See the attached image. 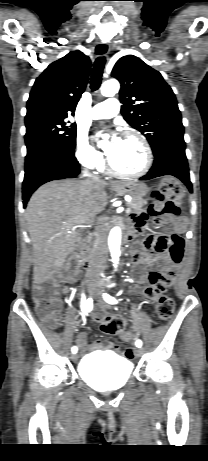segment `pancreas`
Listing matches in <instances>:
<instances>
[{
    "mask_svg": "<svg viewBox=\"0 0 208 461\" xmlns=\"http://www.w3.org/2000/svg\"><path fill=\"white\" fill-rule=\"evenodd\" d=\"M146 201L143 198L133 199L131 202H128L126 205L128 208L134 212L139 211L145 205Z\"/></svg>",
    "mask_w": 208,
    "mask_h": 461,
    "instance_id": "pancreas-1",
    "label": "pancreas"
}]
</instances>
